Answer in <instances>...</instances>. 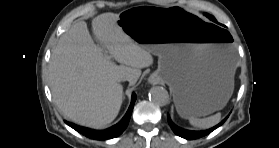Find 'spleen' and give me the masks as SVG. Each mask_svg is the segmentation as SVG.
Segmentation results:
<instances>
[{
    "mask_svg": "<svg viewBox=\"0 0 279 148\" xmlns=\"http://www.w3.org/2000/svg\"><path fill=\"white\" fill-rule=\"evenodd\" d=\"M221 120V113H216L210 117L199 119L196 117L189 118L190 124L198 128H210Z\"/></svg>",
    "mask_w": 279,
    "mask_h": 148,
    "instance_id": "3e777b00",
    "label": "spleen"
}]
</instances>
